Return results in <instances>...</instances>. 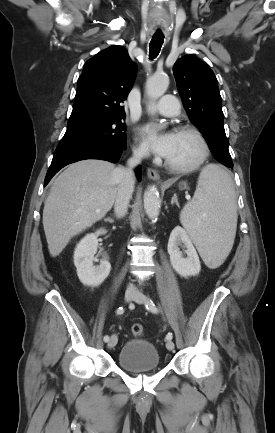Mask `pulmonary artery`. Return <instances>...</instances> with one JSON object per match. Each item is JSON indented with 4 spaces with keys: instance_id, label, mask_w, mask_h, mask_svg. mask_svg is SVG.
<instances>
[{
    "instance_id": "1",
    "label": "pulmonary artery",
    "mask_w": 275,
    "mask_h": 433,
    "mask_svg": "<svg viewBox=\"0 0 275 433\" xmlns=\"http://www.w3.org/2000/svg\"><path fill=\"white\" fill-rule=\"evenodd\" d=\"M155 110L161 115L172 117L180 112L179 101L173 95H165L155 105Z\"/></svg>"
}]
</instances>
